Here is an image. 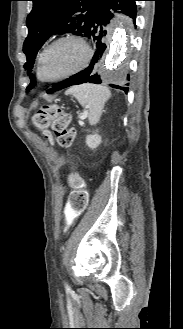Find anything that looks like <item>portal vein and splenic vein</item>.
I'll return each instance as SVG.
<instances>
[{
  "label": "portal vein and splenic vein",
  "instance_id": "obj_1",
  "mask_svg": "<svg viewBox=\"0 0 183 329\" xmlns=\"http://www.w3.org/2000/svg\"><path fill=\"white\" fill-rule=\"evenodd\" d=\"M79 118H80L81 120H83V119L86 118V115H85V114H84V115H81V116H79Z\"/></svg>",
  "mask_w": 183,
  "mask_h": 329
}]
</instances>
